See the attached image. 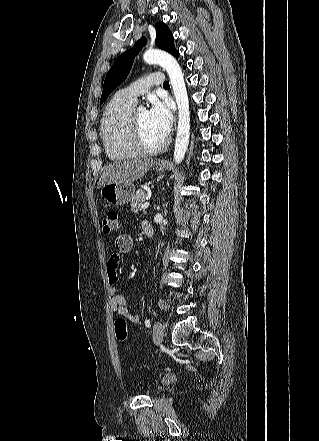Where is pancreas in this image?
<instances>
[{
    "label": "pancreas",
    "instance_id": "cf45deb5",
    "mask_svg": "<svg viewBox=\"0 0 319 441\" xmlns=\"http://www.w3.org/2000/svg\"><path fill=\"white\" fill-rule=\"evenodd\" d=\"M146 199V194L143 190H138L131 200V210L134 213H138L142 208V204Z\"/></svg>",
    "mask_w": 319,
    "mask_h": 441
}]
</instances>
